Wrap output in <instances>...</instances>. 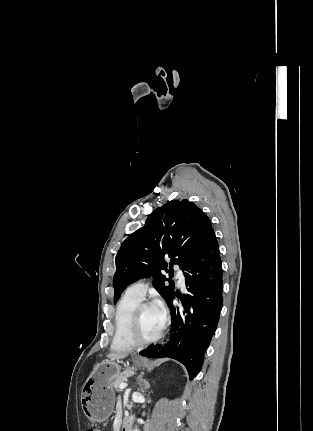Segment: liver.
Listing matches in <instances>:
<instances>
[{"mask_svg": "<svg viewBox=\"0 0 313 431\" xmlns=\"http://www.w3.org/2000/svg\"><path fill=\"white\" fill-rule=\"evenodd\" d=\"M110 360H119L124 359L127 357V354L125 353H110L107 356Z\"/></svg>", "mask_w": 313, "mask_h": 431, "instance_id": "liver-1", "label": "liver"}]
</instances>
